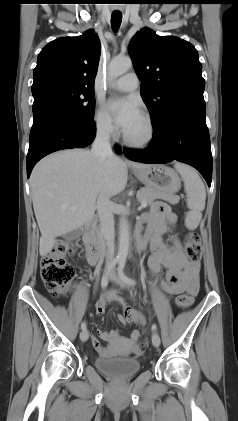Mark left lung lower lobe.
<instances>
[{
  "label": "left lung lower lobe",
  "instance_id": "0a47b994",
  "mask_svg": "<svg viewBox=\"0 0 238 421\" xmlns=\"http://www.w3.org/2000/svg\"><path fill=\"white\" fill-rule=\"evenodd\" d=\"M206 107L194 104L176 110L153 135L146 150H124L133 161L156 164L177 160L196 168L208 186L212 179L210 137L205 121Z\"/></svg>",
  "mask_w": 238,
  "mask_h": 421
}]
</instances>
